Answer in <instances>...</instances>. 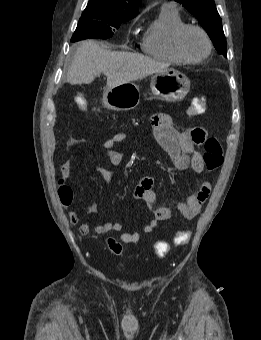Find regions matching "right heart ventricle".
Instances as JSON below:
<instances>
[{"label":"right heart ventricle","mask_w":261,"mask_h":340,"mask_svg":"<svg viewBox=\"0 0 261 340\" xmlns=\"http://www.w3.org/2000/svg\"><path fill=\"white\" fill-rule=\"evenodd\" d=\"M185 24L178 9L161 7L158 16L146 29L141 41L142 50L163 62L183 65L184 61L173 46L176 31Z\"/></svg>","instance_id":"obj_1"}]
</instances>
